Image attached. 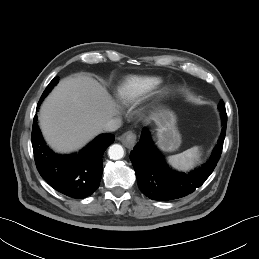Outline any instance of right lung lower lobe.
<instances>
[{"instance_id": "right-lung-lower-lobe-1", "label": "right lung lower lobe", "mask_w": 259, "mask_h": 259, "mask_svg": "<svg viewBox=\"0 0 259 259\" xmlns=\"http://www.w3.org/2000/svg\"><path fill=\"white\" fill-rule=\"evenodd\" d=\"M37 120L35 115L31 140L35 164L42 178L68 197L82 199L91 195L99 187L103 172L101 159L106 148L114 142V135L103 134L78 154L61 156L46 146Z\"/></svg>"}]
</instances>
